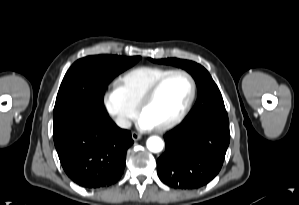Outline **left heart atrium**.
<instances>
[{"instance_id": "1", "label": "left heart atrium", "mask_w": 299, "mask_h": 205, "mask_svg": "<svg viewBox=\"0 0 299 205\" xmlns=\"http://www.w3.org/2000/svg\"><path fill=\"white\" fill-rule=\"evenodd\" d=\"M138 127L142 130H149L155 126L148 118H146L144 115H141L138 119Z\"/></svg>"}]
</instances>
